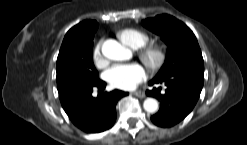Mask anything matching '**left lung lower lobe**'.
Listing matches in <instances>:
<instances>
[{"mask_svg":"<svg viewBox=\"0 0 247 145\" xmlns=\"http://www.w3.org/2000/svg\"><path fill=\"white\" fill-rule=\"evenodd\" d=\"M203 75L179 72L163 78H154L149 85L164 83L165 93L161 88L147 90L146 94L160 101L159 111L151 117L154 124L171 127L183 120L194 108L202 87Z\"/></svg>","mask_w":247,"mask_h":145,"instance_id":"0a47b994","label":"left lung lower lobe"}]
</instances>
